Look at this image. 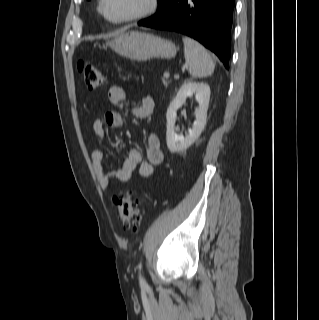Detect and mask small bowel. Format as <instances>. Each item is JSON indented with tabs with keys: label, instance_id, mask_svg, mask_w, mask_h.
Masks as SVG:
<instances>
[{
	"label": "small bowel",
	"instance_id": "1",
	"mask_svg": "<svg viewBox=\"0 0 319 320\" xmlns=\"http://www.w3.org/2000/svg\"><path fill=\"white\" fill-rule=\"evenodd\" d=\"M110 102L119 110L125 108V91L122 87L114 85L108 91ZM154 108V101L151 96L143 98L140 105L131 108L133 116L145 119L151 116ZM123 116L119 111H108L104 120L97 119L93 122L92 129L94 135L99 139L107 138L106 126L120 128L123 126ZM107 158V153L103 150H94L90 155V160L97 182L102 189H107L112 180L121 183L127 182L132 173L138 169V173L143 178L152 176L154 168L162 162V152L159 139L155 134L148 136V144L145 155L138 149H131L124 159L120 168L115 170H105L103 162Z\"/></svg>",
	"mask_w": 319,
	"mask_h": 320
}]
</instances>
